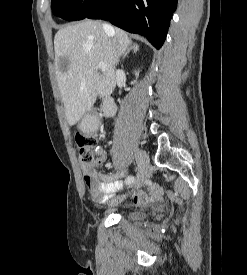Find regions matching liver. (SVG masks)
Returning <instances> with one entry per match:
<instances>
[{"label":"liver","instance_id":"liver-1","mask_svg":"<svg viewBox=\"0 0 247 275\" xmlns=\"http://www.w3.org/2000/svg\"><path fill=\"white\" fill-rule=\"evenodd\" d=\"M111 28L105 31L100 22L85 20L55 35L56 76L70 126L93 106L97 96H110L115 89V66L132 41L123 30ZM99 63L107 65L102 74L97 71Z\"/></svg>","mask_w":247,"mask_h":275}]
</instances>
